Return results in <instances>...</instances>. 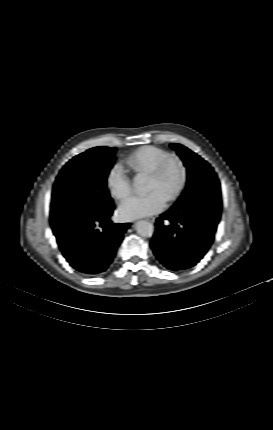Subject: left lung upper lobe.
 I'll list each match as a JSON object with an SVG mask.
<instances>
[{
  "label": "left lung upper lobe",
  "mask_w": 273,
  "mask_h": 430,
  "mask_svg": "<svg viewBox=\"0 0 273 430\" xmlns=\"http://www.w3.org/2000/svg\"><path fill=\"white\" fill-rule=\"evenodd\" d=\"M183 160L187 168L186 188L179 200L172 207L179 209L185 200L194 198L201 193L218 194L221 196L220 183L213 168L199 155L180 144H170Z\"/></svg>",
  "instance_id": "obj_1"
}]
</instances>
